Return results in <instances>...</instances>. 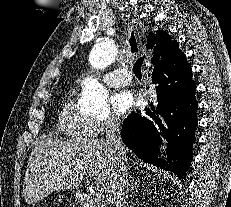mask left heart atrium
Segmentation results:
<instances>
[{
	"label": "left heart atrium",
	"mask_w": 231,
	"mask_h": 207,
	"mask_svg": "<svg viewBox=\"0 0 231 207\" xmlns=\"http://www.w3.org/2000/svg\"><path fill=\"white\" fill-rule=\"evenodd\" d=\"M133 102V94L128 90L118 91L111 98L112 107L119 114L125 113L130 109Z\"/></svg>",
	"instance_id": "1"
}]
</instances>
